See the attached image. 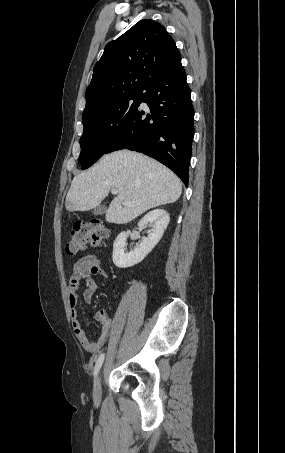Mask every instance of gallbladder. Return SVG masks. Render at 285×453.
Wrapping results in <instances>:
<instances>
[{
	"label": "gallbladder",
	"mask_w": 285,
	"mask_h": 453,
	"mask_svg": "<svg viewBox=\"0 0 285 453\" xmlns=\"http://www.w3.org/2000/svg\"><path fill=\"white\" fill-rule=\"evenodd\" d=\"M106 210H107V207H106V206H104V205H99V206H97L96 208H94L93 214H94V215H102V214H104V213L106 212Z\"/></svg>",
	"instance_id": "gallbladder-1"
}]
</instances>
